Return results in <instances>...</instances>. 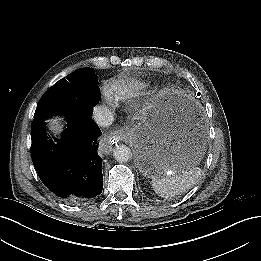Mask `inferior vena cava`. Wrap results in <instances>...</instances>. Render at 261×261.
I'll list each match as a JSON object with an SVG mask.
<instances>
[{
	"instance_id": "602c4592",
	"label": "inferior vena cava",
	"mask_w": 261,
	"mask_h": 261,
	"mask_svg": "<svg viewBox=\"0 0 261 261\" xmlns=\"http://www.w3.org/2000/svg\"><path fill=\"white\" fill-rule=\"evenodd\" d=\"M93 120L98 126L108 127L113 123L112 112L104 106H97L93 110Z\"/></svg>"
}]
</instances>
